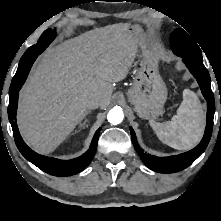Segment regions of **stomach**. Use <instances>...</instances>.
Returning a JSON list of instances; mask_svg holds the SVG:
<instances>
[{"instance_id": "obj_1", "label": "stomach", "mask_w": 221, "mask_h": 221, "mask_svg": "<svg viewBox=\"0 0 221 221\" xmlns=\"http://www.w3.org/2000/svg\"><path fill=\"white\" fill-rule=\"evenodd\" d=\"M128 31L137 39L140 48V69L134 77L133 86L128 91L129 101L138 116L155 119L163 112L167 99V88L158 72L159 55L154 48L144 42L140 29L130 26Z\"/></svg>"}]
</instances>
